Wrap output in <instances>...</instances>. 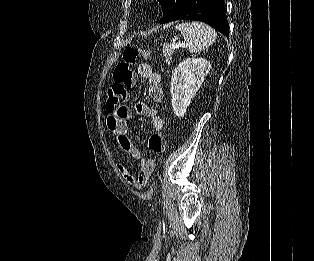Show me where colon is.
I'll return each mask as SVG.
<instances>
[{
  "label": "colon",
  "instance_id": "obj_1",
  "mask_svg": "<svg viewBox=\"0 0 314 261\" xmlns=\"http://www.w3.org/2000/svg\"><path fill=\"white\" fill-rule=\"evenodd\" d=\"M149 51L135 46L126 47L123 51V60L113 71V81L108 88V108L123 105L127 101V90L132 86L134 75L132 65L139 59L147 58ZM149 148L155 154H162L166 150L165 139L161 132H154L149 138Z\"/></svg>",
  "mask_w": 314,
  "mask_h": 261
}]
</instances>
